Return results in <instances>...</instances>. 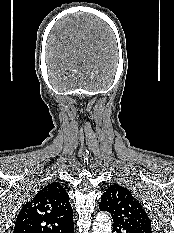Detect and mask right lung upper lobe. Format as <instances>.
I'll return each mask as SVG.
<instances>
[{"mask_svg": "<svg viewBox=\"0 0 174 233\" xmlns=\"http://www.w3.org/2000/svg\"><path fill=\"white\" fill-rule=\"evenodd\" d=\"M73 210L64 188L49 183L21 209L13 233H68Z\"/></svg>", "mask_w": 174, "mask_h": 233, "instance_id": "1", "label": "right lung upper lobe"}]
</instances>
